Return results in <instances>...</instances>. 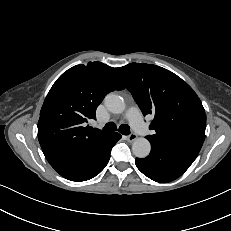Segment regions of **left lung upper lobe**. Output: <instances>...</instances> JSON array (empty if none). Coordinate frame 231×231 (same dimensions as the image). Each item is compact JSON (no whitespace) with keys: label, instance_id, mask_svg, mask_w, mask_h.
Wrapping results in <instances>:
<instances>
[{"label":"left lung upper lobe","instance_id":"obj_1","mask_svg":"<svg viewBox=\"0 0 231 231\" xmlns=\"http://www.w3.org/2000/svg\"><path fill=\"white\" fill-rule=\"evenodd\" d=\"M118 74L144 116L152 114L146 138L151 144L184 147L199 152L206 114L194 90L171 71L145 63H130Z\"/></svg>","mask_w":231,"mask_h":231}]
</instances>
